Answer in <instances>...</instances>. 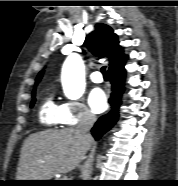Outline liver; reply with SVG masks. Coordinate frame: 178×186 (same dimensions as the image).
Returning <instances> with one entry per match:
<instances>
[{"label": "liver", "mask_w": 178, "mask_h": 186, "mask_svg": "<svg viewBox=\"0 0 178 186\" xmlns=\"http://www.w3.org/2000/svg\"><path fill=\"white\" fill-rule=\"evenodd\" d=\"M92 137L76 128L31 134L23 143L17 180H50L57 173L75 169L90 149Z\"/></svg>", "instance_id": "liver-1"}]
</instances>
